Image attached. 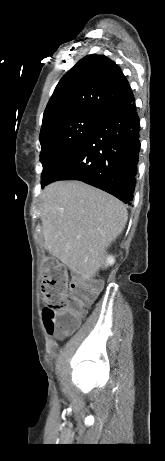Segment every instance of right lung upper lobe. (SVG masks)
Masks as SVG:
<instances>
[{"label":"right lung upper lobe","mask_w":165,"mask_h":461,"mask_svg":"<svg viewBox=\"0 0 165 461\" xmlns=\"http://www.w3.org/2000/svg\"><path fill=\"white\" fill-rule=\"evenodd\" d=\"M133 101L129 82L115 62L104 55L85 56L56 86L44 111L41 132L59 119H103Z\"/></svg>","instance_id":"1"}]
</instances>
